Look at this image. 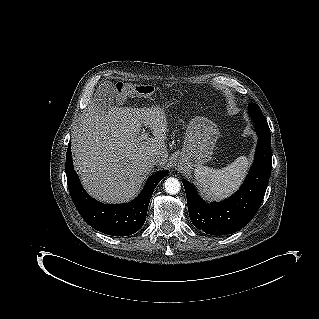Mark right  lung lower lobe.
I'll return each instance as SVG.
<instances>
[{"instance_id": "98d812e1", "label": "right lung lower lobe", "mask_w": 319, "mask_h": 319, "mask_svg": "<svg viewBox=\"0 0 319 319\" xmlns=\"http://www.w3.org/2000/svg\"><path fill=\"white\" fill-rule=\"evenodd\" d=\"M66 175L69 192L82 218L94 229L112 236H127L137 232L146 220L148 205L156 185L168 175L159 172L148 178L140 195L127 204H103L90 197L74 171L71 143L66 155Z\"/></svg>"}]
</instances>
